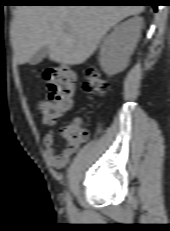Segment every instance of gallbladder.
I'll use <instances>...</instances> for the list:
<instances>
[{
  "instance_id": "bac80fb5",
  "label": "gallbladder",
  "mask_w": 170,
  "mask_h": 231,
  "mask_svg": "<svg viewBox=\"0 0 170 231\" xmlns=\"http://www.w3.org/2000/svg\"><path fill=\"white\" fill-rule=\"evenodd\" d=\"M49 52V46L45 45L41 47L30 59L29 63L31 65H37L39 64L48 54Z\"/></svg>"
}]
</instances>
